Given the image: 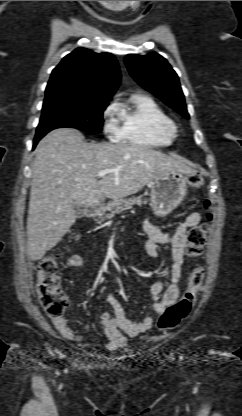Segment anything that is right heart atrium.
I'll return each mask as SVG.
<instances>
[{"label":"right heart atrium","instance_id":"1","mask_svg":"<svg viewBox=\"0 0 242 416\" xmlns=\"http://www.w3.org/2000/svg\"><path fill=\"white\" fill-rule=\"evenodd\" d=\"M115 114H116V104L110 103L106 106L103 111V121H104V130L105 133L114 136L117 132V125L115 121Z\"/></svg>","mask_w":242,"mask_h":416}]
</instances>
